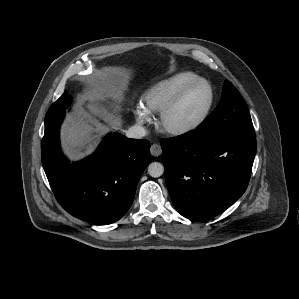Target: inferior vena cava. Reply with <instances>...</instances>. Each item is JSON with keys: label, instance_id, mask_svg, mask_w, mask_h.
Wrapping results in <instances>:
<instances>
[{"label": "inferior vena cava", "instance_id": "inferior-vena-cava-1", "mask_svg": "<svg viewBox=\"0 0 299 299\" xmlns=\"http://www.w3.org/2000/svg\"><path fill=\"white\" fill-rule=\"evenodd\" d=\"M146 134L145 128L140 125H134L126 131V136L133 139H141Z\"/></svg>", "mask_w": 299, "mask_h": 299}]
</instances>
